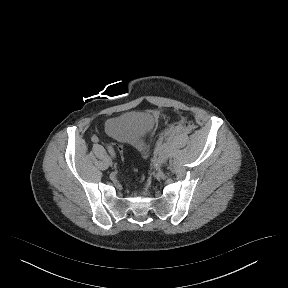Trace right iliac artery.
Segmentation results:
<instances>
[{
  "instance_id": "1",
  "label": "right iliac artery",
  "mask_w": 288,
  "mask_h": 288,
  "mask_svg": "<svg viewBox=\"0 0 288 288\" xmlns=\"http://www.w3.org/2000/svg\"><path fill=\"white\" fill-rule=\"evenodd\" d=\"M91 140L93 142H99V138L97 136H95V135L92 136ZM107 149H108V152L111 155V157L114 158L116 154H115V151H114L113 147L111 145H107Z\"/></svg>"
}]
</instances>
